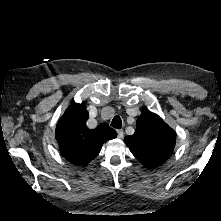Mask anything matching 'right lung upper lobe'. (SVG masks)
<instances>
[{
  "label": "right lung upper lobe",
  "instance_id": "cb5924a9",
  "mask_svg": "<svg viewBox=\"0 0 221 221\" xmlns=\"http://www.w3.org/2000/svg\"><path fill=\"white\" fill-rule=\"evenodd\" d=\"M89 114L85 104H72L56 126V138L62 155L75 165H85L95 158L106 141L117 136L114 129L103 123L89 129Z\"/></svg>",
  "mask_w": 221,
  "mask_h": 221
}]
</instances>
